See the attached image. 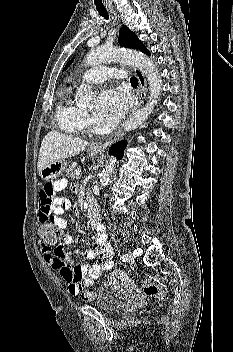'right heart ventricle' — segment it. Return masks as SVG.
I'll list each match as a JSON object with an SVG mask.
<instances>
[{
    "label": "right heart ventricle",
    "instance_id": "e07e8e85",
    "mask_svg": "<svg viewBox=\"0 0 233 352\" xmlns=\"http://www.w3.org/2000/svg\"><path fill=\"white\" fill-rule=\"evenodd\" d=\"M56 119L60 129L69 134H78L85 127L84 112L70 99L69 92L58 105Z\"/></svg>",
    "mask_w": 233,
    "mask_h": 352
}]
</instances>
